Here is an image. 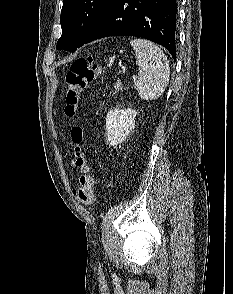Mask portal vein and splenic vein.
Wrapping results in <instances>:
<instances>
[{
    "label": "portal vein and splenic vein",
    "instance_id": "18ae733b",
    "mask_svg": "<svg viewBox=\"0 0 233 294\" xmlns=\"http://www.w3.org/2000/svg\"><path fill=\"white\" fill-rule=\"evenodd\" d=\"M132 78H133V80H136V76L135 75H133Z\"/></svg>",
    "mask_w": 233,
    "mask_h": 294
}]
</instances>
